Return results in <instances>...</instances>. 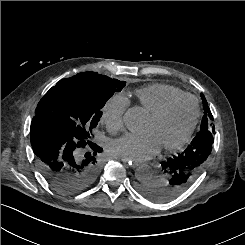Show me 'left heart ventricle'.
Returning a JSON list of instances; mask_svg holds the SVG:
<instances>
[{
	"label": "left heart ventricle",
	"mask_w": 245,
	"mask_h": 245,
	"mask_svg": "<svg viewBox=\"0 0 245 245\" xmlns=\"http://www.w3.org/2000/svg\"><path fill=\"white\" fill-rule=\"evenodd\" d=\"M195 114V103L184 99L174 104L161 118L146 117L142 132L150 133L159 147L178 142L188 130Z\"/></svg>",
	"instance_id": "obj_1"
}]
</instances>
